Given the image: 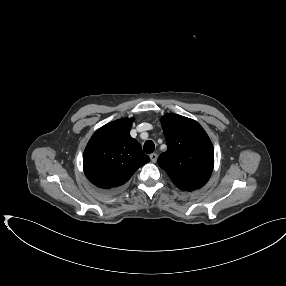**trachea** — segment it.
Instances as JSON below:
<instances>
[{
    "mask_svg": "<svg viewBox=\"0 0 286 286\" xmlns=\"http://www.w3.org/2000/svg\"><path fill=\"white\" fill-rule=\"evenodd\" d=\"M154 149H155V144L152 140H147L144 143L143 150L145 153L150 154L154 151Z\"/></svg>",
    "mask_w": 286,
    "mask_h": 286,
    "instance_id": "obj_1",
    "label": "trachea"
}]
</instances>
